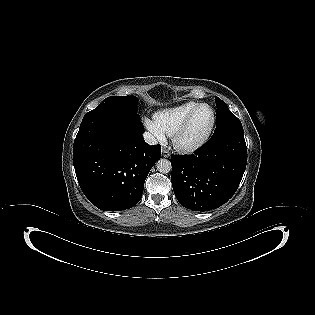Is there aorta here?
<instances>
[{
  "mask_svg": "<svg viewBox=\"0 0 315 315\" xmlns=\"http://www.w3.org/2000/svg\"><path fill=\"white\" fill-rule=\"evenodd\" d=\"M157 170L160 173H169L172 169L171 162L167 159H160L156 163Z\"/></svg>",
  "mask_w": 315,
  "mask_h": 315,
  "instance_id": "aorta-1",
  "label": "aorta"
}]
</instances>
